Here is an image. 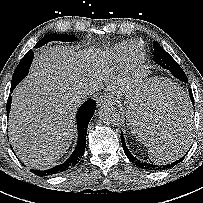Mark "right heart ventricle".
I'll use <instances>...</instances> for the list:
<instances>
[{
	"mask_svg": "<svg viewBox=\"0 0 203 203\" xmlns=\"http://www.w3.org/2000/svg\"><path fill=\"white\" fill-rule=\"evenodd\" d=\"M131 42H122L116 44L105 54V61L112 64H121L124 62L129 51Z\"/></svg>",
	"mask_w": 203,
	"mask_h": 203,
	"instance_id": "obj_1",
	"label": "right heart ventricle"
}]
</instances>
